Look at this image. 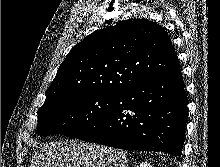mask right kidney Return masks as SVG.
<instances>
[{
	"label": "right kidney",
	"instance_id": "obj_1",
	"mask_svg": "<svg viewBox=\"0 0 220 167\" xmlns=\"http://www.w3.org/2000/svg\"><path fill=\"white\" fill-rule=\"evenodd\" d=\"M136 167H152L148 162H142L141 164H139Z\"/></svg>",
	"mask_w": 220,
	"mask_h": 167
}]
</instances>
